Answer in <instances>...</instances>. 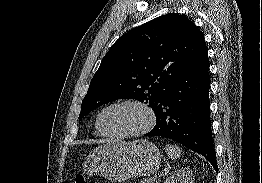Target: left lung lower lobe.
<instances>
[{
    "mask_svg": "<svg viewBox=\"0 0 262 183\" xmlns=\"http://www.w3.org/2000/svg\"><path fill=\"white\" fill-rule=\"evenodd\" d=\"M208 49L202 51L171 86L159 106L155 127L146 136L172 139L203 155L218 172L209 101Z\"/></svg>",
    "mask_w": 262,
    "mask_h": 183,
    "instance_id": "obj_1",
    "label": "left lung lower lobe"
}]
</instances>
